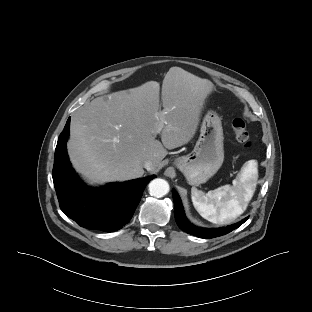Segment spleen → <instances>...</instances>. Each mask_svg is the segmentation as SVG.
<instances>
[{"label": "spleen", "mask_w": 312, "mask_h": 312, "mask_svg": "<svg viewBox=\"0 0 312 312\" xmlns=\"http://www.w3.org/2000/svg\"><path fill=\"white\" fill-rule=\"evenodd\" d=\"M255 191L253 168L247 165L233 181V185H224L206 195L193 187L191 198L197 212L212 223L226 224L234 221L247 208Z\"/></svg>", "instance_id": "1"}]
</instances>
